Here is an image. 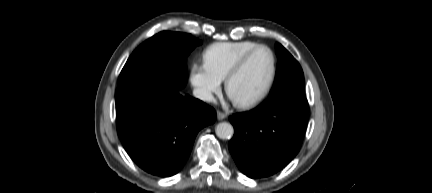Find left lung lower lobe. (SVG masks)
<instances>
[{"mask_svg":"<svg viewBox=\"0 0 432 193\" xmlns=\"http://www.w3.org/2000/svg\"><path fill=\"white\" fill-rule=\"evenodd\" d=\"M303 97H270L257 108L229 117L234 136L230 153L250 178L273 175L298 153L308 121Z\"/></svg>","mask_w":432,"mask_h":193,"instance_id":"1","label":"left lung lower lobe"}]
</instances>
